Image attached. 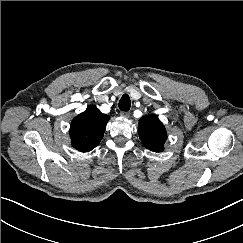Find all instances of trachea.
I'll return each mask as SVG.
<instances>
[{"instance_id":"trachea-1","label":"trachea","mask_w":243,"mask_h":243,"mask_svg":"<svg viewBox=\"0 0 243 243\" xmlns=\"http://www.w3.org/2000/svg\"><path fill=\"white\" fill-rule=\"evenodd\" d=\"M120 110L122 111H128L131 106L130 98L127 94H124L118 104Z\"/></svg>"}]
</instances>
